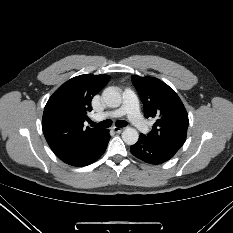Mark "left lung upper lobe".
I'll return each mask as SVG.
<instances>
[{
    "label": "left lung upper lobe",
    "mask_w": 233,
    "mask_h": 233,
    "mask_svg": "<svg viewBox=\"0 0 233 233\" xmlns=\"http://www.w3.org/2000/svg\"><path fill=\"white\" fill-rule=\"evenodd\" d=\"M132 82L142 100L145 117L156 118L152 131L141 135L151 144L176 153L185 142L189 122L182 101L157 78L132 76Z\"/></svg>",
    "instance_id": "1"
}]
</instances>
